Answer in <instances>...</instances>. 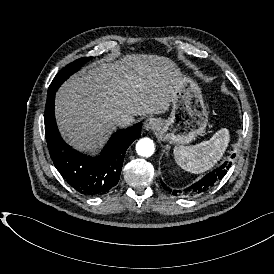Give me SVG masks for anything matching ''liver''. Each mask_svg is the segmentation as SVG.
<instances>
[{
	"instance_id": "obj_1",
	"label": "liver",
	"mask_w": 274,
	"mask_h": 274,
	"mask_svg": "<svg viewBox=\"0 0 274 274\" xmlns=\"http://www.w3.org/2000/svg\"><path fill=\"white\" fill-rule=\"evenodd\" d=\"M181 76L176 64L158 55L127 54L93 62L58 90L55 116L74 149L97 154L117 129L122 114L165 113Z\"/></svg>"
}]
</instances>
